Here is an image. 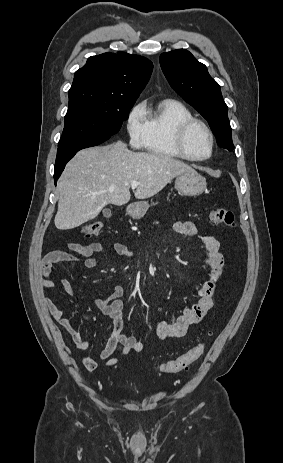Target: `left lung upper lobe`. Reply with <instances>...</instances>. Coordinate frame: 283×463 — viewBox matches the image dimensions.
I'll return each mask as SVG.
<instances>
[{
    "instance_id": "obj_1",
    "label": "left lung upper lobe",
    "mask_w": 283,
    "mask_h": 463,
    "mask_svg": "<svg viewBox=\"0 0 283 463\" xmlns=\"http://www.w3.org/2000/svg\"><path fill=\"white\" fill-rule=\"evenodd\" d=\"M160 65L171 87L208 121L218 145L232 151L228 107L206 66L185 49L161 54Z\"/></svg>"
}]
</instances>
